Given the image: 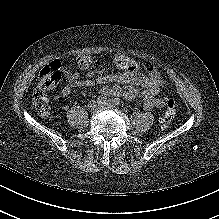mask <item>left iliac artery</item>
Masks as SVG:
<instances>
[{"label":"left iliac artery","mask_w":219,"mask_h":219,"mask_svg":"<svg viewBox=\"0 0 219 219\" xmlns=\"http://www.w3.org/2000/svg\"><path fill=\"white\" fill-rule=\"evenodd\" d=\"M112 102H113V104L116 105V106L120 105V99H119V98H114V99L112 100Z\"/></svg>","instance_id":"1"}]
</instances>
